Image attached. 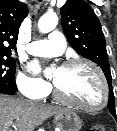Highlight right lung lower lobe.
<instances>
[{
  "mask_svg": "<svg viewBox=\"0 0 117 131\" xmlns=\"http://www.w3.org/2000/svg\"><path fill=\"white\" fill-rule=\"evenodd\" d=\"M0 93L11 94V93H9V92H7V91H5V90H2V89H0Z\"/></svg>",
  "mask_w": 117,
  "mask_h": 131,
  "instance_id": "right-lung-lower-lobe-1",
  "label": "right lung lower lobe"
}]
</instances>
